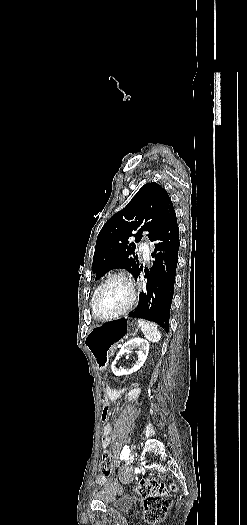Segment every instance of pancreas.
Listing matches in <instances>:
<instances>
[{
  "instance_id": "1",
  "label": "pancreas",
  "mask_w": 247,
  "mask_h": 525,
  "mask_svg": "<svg viewBox=\"0 0 247 525\" xmlns=\"http://www.w3.org/2000/svg\"><path fill=\"white\" fill-rule=\"evenodd\" d=\"M115 351V348L113 346H110L108 348V354L113 355V352Z\"/></svg>"
}]
</instances>
